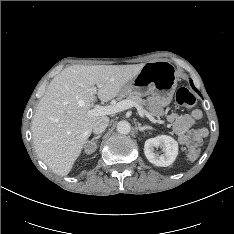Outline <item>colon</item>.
Masks as SVG:
<instances>
[{
    "label": "colon",
    "mask_w": 234,
    "mask_h": 234,
    "mask_svg": "<svg viewBox=\"0 0 234 234\" xmlns=\"http://www.w3.org/2000/svg\"><path fill=\"white\" fill-rule=\"evenodd\" d=\"M175 99H176V103L179 106L184 107V108H190L194 106L196 102V98L193 95V93L185 87H181L177 90ZM199 155H200V148L195 145L190 146L188 150L189 159L195 160L199 157Z\"/></svg>",
    "instance_id": "1"
}]
</instances>
